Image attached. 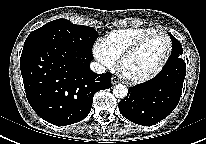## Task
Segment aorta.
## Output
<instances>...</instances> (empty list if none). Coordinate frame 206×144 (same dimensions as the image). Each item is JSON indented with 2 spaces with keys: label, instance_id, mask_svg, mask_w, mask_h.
Instances as JSON below:
<instances>
[{
  "label": "aorta",
  "instance_id": "obj_1",
  "mask_svg": "<svg viewBox=\"0 0 206 144\" xmlns=\"http://www.w3.org/2000/svg\"><path fill=\"white\" fill-rule=\"evenodd\" d=\"M113 94L116 98L124 99L128 94V89L123 84H117L113 88Z\"/></svg>",
  "mask_w": 206,
  "mask_h": 144
}]
</instances>
